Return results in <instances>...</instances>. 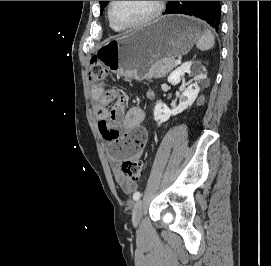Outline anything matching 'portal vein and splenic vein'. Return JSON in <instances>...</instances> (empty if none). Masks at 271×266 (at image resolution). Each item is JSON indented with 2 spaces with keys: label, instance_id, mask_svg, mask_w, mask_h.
<instances>
[{
  "label": "portal vein and splenic vein",
  "instance_id": "1",
  "mask_svg": "<svg viewBox=\"0 0 271 266\" xmlns=\"http://www.w3.org/2000/svg\"><path fill=\"white\" fill-rule=\"evenodd\" d=\"M175 64H176V65L181 64V60H180V59H179V60H176V61H175Z\"/></svg>",
  "mask_w": 271,
  "mask_h": 266
}]
</instances>
